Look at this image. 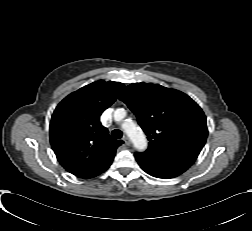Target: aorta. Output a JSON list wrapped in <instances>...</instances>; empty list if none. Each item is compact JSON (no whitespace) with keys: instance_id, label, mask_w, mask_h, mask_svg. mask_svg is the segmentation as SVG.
<instances>
[{"instance_id":"obj_1","label":"aorta","mask_w":252,"mask_h":231,"mask_svg":"<svg viewBox=\"0 0 252 231\" xmlns=\"http://www.w3.org/2000/svg\"><path fill=\"white\" fill-rule=\"evenodd\" d=\"M123 113L122 109L115 111V116ZM122 128L125 130L126 134L132 141L134 147L139 151H144L147 148V139L144 132L131 120L123 123Z\"/></svg>"}]
</instances>
